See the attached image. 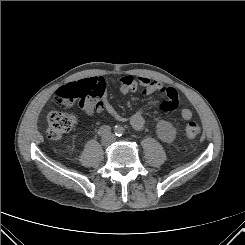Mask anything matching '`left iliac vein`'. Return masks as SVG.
I'll use <instances>...</instances> for the list:
<instances>
[{
    "instance_id": "obj_1",
    "label": "left iliac vein",
    "mask_w": 245,
    "mask_h": 245,
    "mask_svg": "<svg viewBox=\"0 0 245 245\" xmlns=\"http://www.w3.org/2000/svg\"><path fill=\"white\" fill-rule=\"evenodd\" d=\"M110 139H111V141H112V142H113V141H115V138H114V137H112V136L110 137Z\"/></svg>"
}]
</instances>
